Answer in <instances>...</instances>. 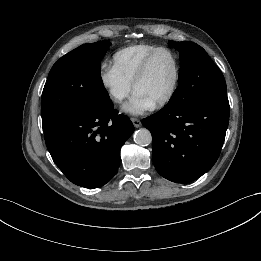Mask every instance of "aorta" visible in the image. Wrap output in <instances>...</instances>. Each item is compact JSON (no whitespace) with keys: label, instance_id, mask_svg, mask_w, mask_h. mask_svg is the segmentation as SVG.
I'll return each mask as SVG.
<instances>
[{"label":"aorta","instance_id":"762f6f07","mask_svg":"<svg viewBox=\"0 0 261 261\" xmlns=\"http://www.w3.org/2000/svg\"><path fill=\"white\" fill-rule=\"evenodd\" d=\"M134 141L140 146H148L152 142L151 132L146 128H141L134 133Z\"/></svg>","mask_w":261,"mask_h":261}]
</instances>
